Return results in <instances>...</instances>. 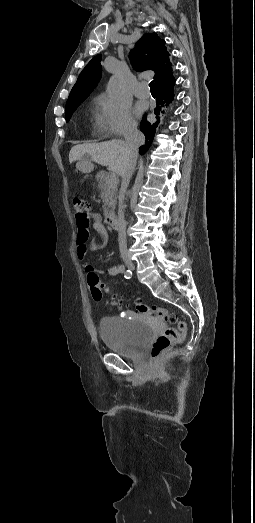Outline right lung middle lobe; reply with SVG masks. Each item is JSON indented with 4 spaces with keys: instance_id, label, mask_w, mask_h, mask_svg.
Listing matches in <instances>:
<instances>
[{
    "instance_id": "1",
    "label": "right lung middle lobe",
    "mask_w": 255,
    "mask_h": 523,
    "mask_svg": "<svg viewBox=\"0 0 255 523\" xmlns=\"http://www.w3.org/2000/svg\"><path fill=\"white\" fill-rule=\"evenodd\" d=\"M81 102H68L66 103L65 108V117L66 122H68L73 114V112L77 109V107L80 105Z\"/></svg>"
}]
</instances>
